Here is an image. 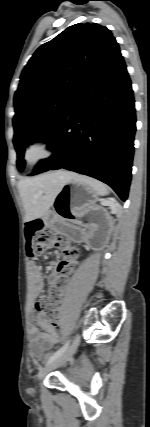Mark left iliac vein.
I'll list each match as a JSON object with an SVG mask.
<instances>
[{
	"mask_svg": "<svg viewBox=\"0 0 150 427\" xmlns=\"http://www.w3.org/2000/svg\"><path fill=\"white\" fill-rule=\"evenodd\" d=\"M80 344V335L77 334L75 338L72 341V344L69 346V348L61 354L58 358L53 360L52 362L48 363L45 367H43L39 372V379H43L49 372L52 370L62 366L65 364L68 360L72 358V356L75 354L78 346Z\"/></svg>",
	"mask_w": 150,
	"mask_h": 427,
	"instance_id": "left-iliac-vein-1",
	"label": "left iliac vein"
}]
</instances>
